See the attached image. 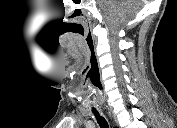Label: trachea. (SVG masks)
<instances>
[{"label":"trachea","instance_id":"trachea-1","mask_svg":"<svg viewBox=\"0 0 177 128\" xmlns=\"http://www.w3.org/2000/svg\"><path fill=\"white\" fill-rule=\"evenodd\" d=\"M92 110H93V112H94V114H95V116H96V119H97V122H98L100 128H109V127H108V123H107V121L105 120V118L102 117V116H100L99 113L96 111L95 108H93Z\"/></svg>","mask_w":177,"mask_h":128}]
</instances>
